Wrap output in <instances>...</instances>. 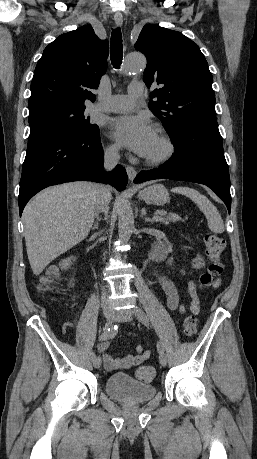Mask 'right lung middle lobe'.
<instances>
[{
  "instance_id": "dd1d6c3e",
  "label": "right lung middle lobe",
  "mask_w": 257,
  "mask_h": 459,
  "mask_svg": "<svg viewBox=\"0 0 257 459\" xmlns=\"http://www.w3.org/2000/svg\"><path fill=\"white\" fill-rule=\"evenodd\" d=\"M85 107L51 106L29 113L30 127L35 125L52 126L72 134H91L99 130L84 116Z\"/></svg>"
}]
</instances>
